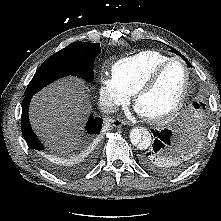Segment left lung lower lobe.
<instances>
[{
	"mask_svg": "<svg viewBox=\"0 0 221 221\" xmlns=\"http://www.w3.org/2000/svg\"><path fill=\"white\" fill-rule=\"evenodd\" d=\"M155 140L152 148L142 155L141 163L151 172L158 174L176 173L180 163L174 155L171 154V130H151Z\"/></svg>",
	"mask_w": 221,
	"mask_h": 221,
	"instance_id": "obj_1",
	"label": "left lung lower lobe"
}]
</instances>
